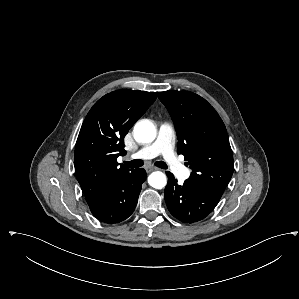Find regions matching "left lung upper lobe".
<instances>
[{
	"mask_svg": "<svg viewBox=\"0 0 299 299\" xmlns=\"http://www.w3.org/2000/svg\"><path fill=\"white\" fill-rule=\"evenodd\" d=\"M159 99L168 109L178 136V153L193 170L188 180L221 198L234 170L226 128L215 109L188 91H165Z\"/></svg>",
	"mask_w": 299,
	"mask_h": 299,
	"instance_id": "left-lung-upper-lobe-1",
	"label": "left lung upper lobe"
}]
</instances>
